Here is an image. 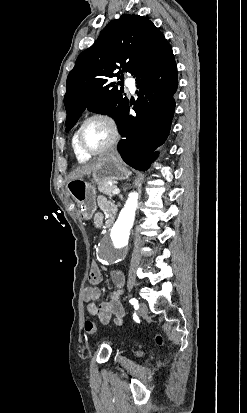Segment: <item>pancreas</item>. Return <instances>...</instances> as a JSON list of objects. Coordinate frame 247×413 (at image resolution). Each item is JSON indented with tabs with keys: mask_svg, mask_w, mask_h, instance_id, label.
I'll return each instance as SVG.
<instances>
[{
	"mask_svg": "<svg viewBox=\"0 0 247 413\" xmlns=\"http://www.w3.org/2000/svg\"><path fill=\"white\" fill-rule=\"evenodd\" d=\"M109 180L107 182H101V184H98V190L100 192H103V194H109V196H113L112 190L116 188V184H108Z\"/></svg>",
	"mask_w": 247,
	"mask_h": 413,
	"instance_id": "pancreas-1",
	"label": "pancreas"
}]
</instances>
